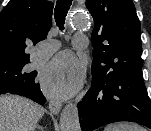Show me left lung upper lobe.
Wrapping results in <instances>:
<instances>
[{
  "label": "left lung upper lobe",
  "mask_w": 151,
  "mask_h": 131,
  "mask_svg": "<svg viewBox=\"0 0 151 131\" xmlns=\"http://www.w3.org/2000/svg\"><path fill=\"white\" fill-rule=\"evenodd\" d=\"M94 19L92 81H109L142 67L140 22L132 0H86Z\"/></svg>",
  "instance_id": "left-lung-upper-lobe-1"
}]
</instances>
